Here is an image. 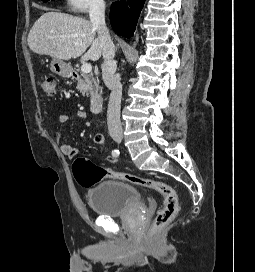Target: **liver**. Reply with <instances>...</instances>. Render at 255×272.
Segmentation results:
<instances>
[{"mask_svg": "<svg viewBox=\"0 0 255 272\" xmlns=\"http://www.w3.org/2000/svg\"><path fill=\"white\" fill-rule=\"evenodd\" d=\"M27 42L34 53L66 61L79 56L97 61L103 52L90 21L59 12L44 13L31 28Z\"/></svg>", "mask_w": 255, "mask_h": 272, "instance_id": "1", "label": "liver"}]
</instances>
